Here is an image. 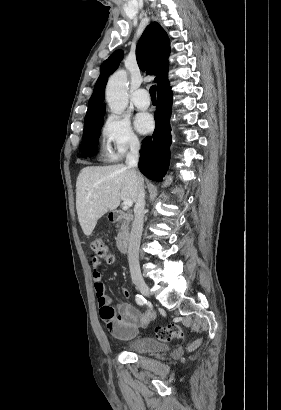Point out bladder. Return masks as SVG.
<instances>
[{
	"label": "bladder",
	"instance_id": "1",
	"mask_svg": "<svg viewBox=\"0 0 281 410\" xmlns=\"http://www.w3.org/2000/svg\"><path fill=\"white\" fill-rule=\"evenodd\" d=\"M127 349L136 354H152L158 352H165L168 346L152 337H141L128 345Z\"/></svg>",
	"mask_w": 281,
	"mask_h": 410
}]
</instances>
